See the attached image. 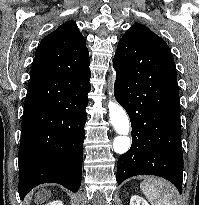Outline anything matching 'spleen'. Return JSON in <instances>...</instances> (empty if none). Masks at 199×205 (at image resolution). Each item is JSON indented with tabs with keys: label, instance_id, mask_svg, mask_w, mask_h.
Listing matches in <instances>:
<instances>
[{
	"label": "spleen",
	"instance_id": "obj_1",
	"mask_svg": "<svg viewBox=\"0 0 199 205\" xmlns=\"http://www.w3.org/2000/svg\"><path fill=\"white\" fill-rule=\"evenodd\" d=\"M151 205H177L175 188L160 178H147L140 183Z\"/></svg>",
	"mask_w": 199,
	"mask_h": 205
}]
</instances>
